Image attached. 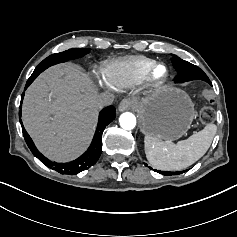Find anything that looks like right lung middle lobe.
Here are the masks:
<instances>
[{"mask_svg": "<svg viewBox=\"0 0 237 237\" xmlns=\"http://www.w3.org/2000/svg\"><path fill=\"white\" fill-rule=\"evenodd\" d=\"M89 52L88 48H74V49H69L66 50L64 52L61 53H56V54H52L49 57H47L46 59H44L34 70L33 72V76L37 77L41 72H43L45 69H47L48 67L58 64V63H62V62H66L70 59H76V58H80L83 55L87 54Z\"/></svg>", "mask_w": 237, "mask_h": 237, "instance_id": "obj_1", "label": "right lung middle lobe"}]
</instances>
